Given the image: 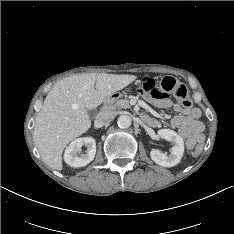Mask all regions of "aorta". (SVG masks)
<instances>
[{"mask_svg": "<svg viewBox=\"0 0 234 234\" xmlns=\"http://www.w3.org/2000/svg\"><path fill=\"white\" fill-rule=\"evenodd\" d=\"M132 120L128 115H121L117 120V124L120 128H128L131 126Z\"/></svg>", "mask_w": 234, "mask_h": 234, "instance_id": "762f6f07", "label": "aorta"}]
</instances>
